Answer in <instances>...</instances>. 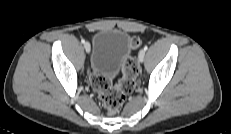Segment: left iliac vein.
Returning a JSON list of instances; mask_svg holds the SVG:
<instances>
[{
  "mask_svg": "<svg viewBox=\"0 0 231 134\" xmlns=\"http://www.w3.org/2000/svg\"><path fill=\"white\" fill-rule=\"evenodd\" d=\"M144 57H145V51H144V49H143V50H141V51L139 52V54H138V60H139V62H143Z\"/></svg>",
  "mask_w": 231,
  "mask_h": 134,
  "instance_id": "left-iliac-vein-1",
  "label": "left iliac vein"
}]
</instances>
